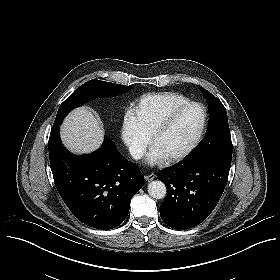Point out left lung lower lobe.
Returning <instances> with one entry per match:
<instances>
[{"label":"left lung lower lobe","mask_w":280,"mask_h":280,"mask_svg":"<svg viewBox=\"0 0 280 280\" xmlns=\"http://www.w3.org/2000/svg\"><path fill=\"white\" fill-rule=\"evenodd\" d=\"M231 161H187L157 173L166 184L167 196L160 206L162 220L171 228L185 230L204 221L217 205L228 180Z\"/></svg>","instance_id":"0a47b994"}]
</instances>
